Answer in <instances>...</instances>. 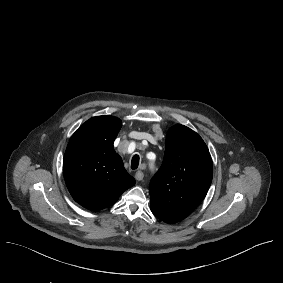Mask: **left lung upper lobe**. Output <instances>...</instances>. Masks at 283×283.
Returning a JSON list of instances; mask_svg holds the SVG:
<instances>
[{
    "label": "left lung upper lobe",
    "mask_w": 283,
    "mask_h": 283,
    "mask_svg": "<svg viewBox=\"0 0 283 283\" xmlns=\"http://www.w3.org/2000/svg\"><path fill=\"white\" fill-rule=\"evenodd\" d=\"M213 165L202 138L177 124L166 136L163 163L151 179L150 204L192 212L212 182Z\"/></svg>",
    "instance_id": "left-lung-upper-lobe-1"
}]
</instances>
